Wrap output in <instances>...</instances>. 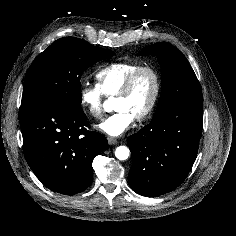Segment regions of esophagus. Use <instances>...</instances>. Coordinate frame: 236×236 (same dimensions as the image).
Masks as SVG:
<instances>
[{"label":"esophagus","mask_w":236,"mask_h":236,"mask_svg":"<svg viewBox=\"0 0 236 236\" xmlns=\"http://www.w3.org/2000/svg\"><path fill=\"white\" fill-rule=\"evenodd\" d=\"M107 140L109 145H114L117 143V140L113 137H108Z\"/></svg>","instance_id":"34e87169"}]
</instances>
